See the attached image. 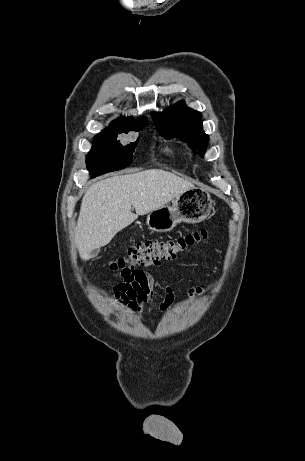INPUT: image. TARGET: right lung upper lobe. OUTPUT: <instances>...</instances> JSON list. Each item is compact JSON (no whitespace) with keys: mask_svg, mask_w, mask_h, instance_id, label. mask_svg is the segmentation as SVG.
Wrapping results in <instances>:
<instances>
[{"mask_svg":"<svg viewBox=\"0 0 305 461\" xmlns=\"http://www.w3.org/2000/svg\"><path fill=\"white\" fill-rule=\"evenodd\" d=\"M147 121L146 117H141L139 122H137L133 117L129 118H119L118 120H115L111 125H119L123 128L130 127L131 125L135 123H141Z\"/></svg>","mask_w":305,"mask_h":461,"instance_id":"1","label":"right lung upper lobe"}]
</instances>
